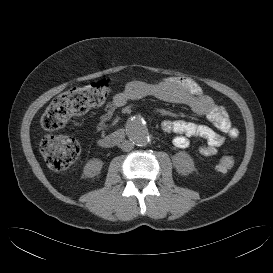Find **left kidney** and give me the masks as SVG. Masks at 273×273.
<instances>
[{
	"mask_svg": "<svg viewBox=\"0 0 273 273\" xmlns=\"http://www.w3.org/2000/svg\"><path fill=\"white\" fill-rule=\"evenodd\" d=\"M173 165L177 172L187 175L195 170L194 161L185 151H179L172 157Z\"/></svg>",
	"mask_w": 273,
	"mask_h": 273,
	"instance_id": "left-kidney-1",
	"label": "left kidney"
}]
</instances>
